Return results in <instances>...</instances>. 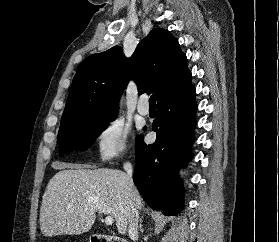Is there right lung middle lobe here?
<instances>
[{"label": "right lung middle lobe", "mask_w": 279, "mask_h": 242, "mask_svg": "<svg viewBox=\"0 0 279 242\" xmlns=\"http://www.w3.org/2000/svg\"><path fill=\"white\" fill-rule=\"evenodd\" d=\"M116 116L91 118L75 124L60 126L58 132L59 156L73 150H87L98 135L106 129L107 124L113 121Z\"/></svg>", "instance_id": "obj_1"}]
</instances>
